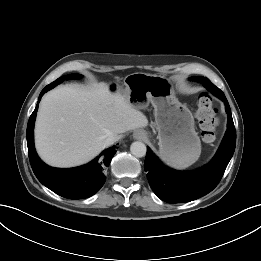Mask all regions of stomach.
I'll use <instances>...</instances> for the list:
<instances>
[{
	"label": "stomach",
	"mask_w": 261,
	"mask_h": 261,
	"mask_svg": "<svg viewBox=\"0 0 261 261\" xmlns=\"http://www.w3.org/2000/svg\"><path fill=\"white\" fill-rule=\"evenodd\" d=\"M136 109L154 107L158 131L159 155L175 168H186L200 156L201 143L195 131L194 117L185 104L178 101L171 82L159 75L133 73L125 79V89L111 85Z\"/></svg>",
	"instance_id": "obj_1"
}]
</instances>
